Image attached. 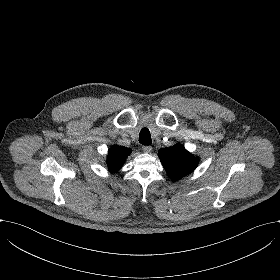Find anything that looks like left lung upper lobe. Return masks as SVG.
<instances>
[{"instance_id": "1", "label": "left lung upper lobe", "mask_w": 280, "mask_h": 280, "mask_svg": "<svg viewBox=\"0 0 280 280\" xmlns=\"http://www.w3.org/2000/svg\"><path fill=\"white\" fill-rule=\"evenodd\" d=\"M159 158L168 176L173 180L191 173L198 165L199 159L190 154L183 145L177 144L159 150Z\"/></svg>"}]
</instances>
